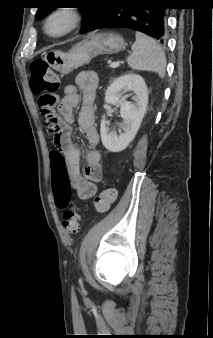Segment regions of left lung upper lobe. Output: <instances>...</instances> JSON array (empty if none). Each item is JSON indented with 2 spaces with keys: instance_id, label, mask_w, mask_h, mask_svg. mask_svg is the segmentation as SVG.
<instances>
[{
  "instance_id": "left-lung-upper-lobe-1",
  "label": "left lung upper lobe",
  "mask_w": 213,
  "mask_h": 338,
  "mask_svg": "<svg viewBox=\"0 0 213 338\" xmlns=\"http://www.w3.org/2000/svg\"><path fill=\"white\" fill-rule=\"evenodd\" d=\"M103 1L104 0H81L80 1L82 3L88 4L84 7L79 8L83 16V25H82L81 31L84 30L89 25V23L95 18L97 13L100 11ZM39 2H41L42 5L38 8V11L35 15L36 18H41L45 16L53 9L52 7L49 6L48 3H46L49 1L42 0Z\"/></svg>"
}]
</instances>
